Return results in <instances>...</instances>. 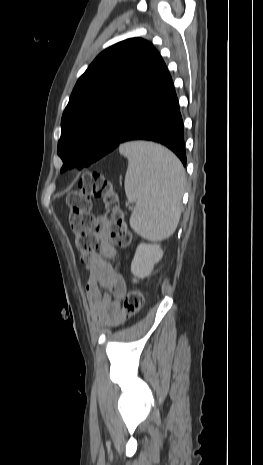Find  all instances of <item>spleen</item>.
Returning a JSON list of instances; mask_svg holds the SVG:
<instances>
[{"label":"spleen","instance_id":"1","mask_svg":"<svg viewBox=\"0 0 263 465\" xmlns=\"http://www.w3.org/2000/svg\"><path fill=\"white\" fill-rule=\"evenodd\" d=\"M128 158L125 193L136 202L131 228L143 238L159 241L171 236L181 216L185 171L168 149L147 142H130L119 147Z\"/></svg>","mask_w":263,"mask_h":465}]
</instances>
